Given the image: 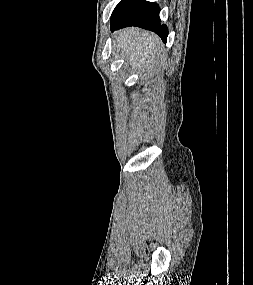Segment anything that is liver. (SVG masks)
Here are the masks:
<instances>
[{
	"instance_id": "liver-1",
	"label": "liver",
	"mask_w": 253,
	"mask_h": 285,
	"mask_svg": "<svg viewBox=\"0 0 253 285\" xmlns=\"http://www.w3.org/2000/svg\"><path fill=\"white\" fill-rule=\"evenodd\" d=\"M116 42L132 68L149 67L161 52L157 35L134 27L117 32Z\"/></svg>"
}]
</instances>
